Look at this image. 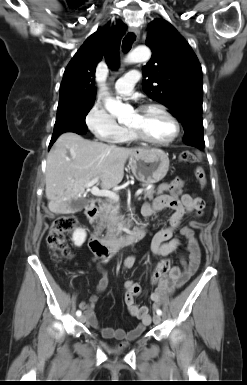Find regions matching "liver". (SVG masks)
<instances>
[{
    "label": "liver",
    "mask_w": 247,
    "mask_h": 385,
    "mask_svg": "<svg viewBox=\"0 0 247 385\" xmlns=\"http://www.w3.org/2000/svg\"><path fill=\"white\" fill-rule=\"evenodd\" d=\"M135 150L86 140L74 132L61 134L47 156L45 194L49 210L69 213L71 201L78 200L85 184L96 177L103 189L117 186L126 160Z\"/></svg>",
    "instance_id": "obj_1"
}]
</instances>
